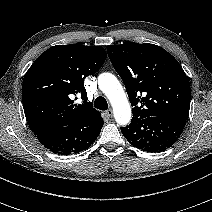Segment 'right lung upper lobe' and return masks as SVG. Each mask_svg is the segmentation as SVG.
Returning a JSON list of instances; mask_svg holds the SVG:
<instances>
[{
	"instance_id": "right-lung-upper-lobe-1",
	"label": "right lung upper lobe",
	"mask_w": 212,
	"mask_h": 212,
	"mask_svg": "<svg viewBox=\"0 0 212 212\" xmlns=\"http://www.w3.org/2000/svg\"><path fill=\"white\" fill-rule=\"evenodd\" d=\"M105 59L104 48L78 44L50 47L37 58L22 86L25 116L35 134L51 127L92 124L102 119L87 102L84 78L96 73ZM77 95L82 104H74Z\"/></svg>"
}]
</instances>
